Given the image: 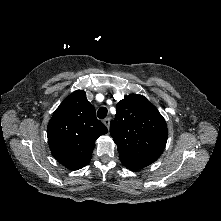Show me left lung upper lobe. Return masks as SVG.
<instances>
[{"mask_svg":"<svg viewBox=\"0 0 221 221\" xmlns=\"http://www.w3.org/2000/svg\"><path fill=\"white\" fill-rule=\"evenodd\" d=\"M116 111L110 133L122 164L138 170L155 162L168 137L166 122L157 108L144 96L130 94L117 103Z\"/></svg>","mask_w":221,"mask_h":221,"instance_id":"left-lung-upper-lobe-1","label":"left lung upper lobe"}]
</instances>
